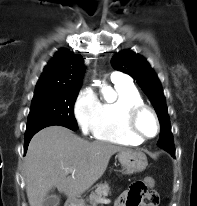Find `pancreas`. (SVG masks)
Segmentation results:
<instances>
[{"label":"pancreas","mask_w":197,"mask_h":206,"mask_svg":"<svg viewBox=\"0 0 197 206\" xmlns=\"http://www.w3.org/2000/svg\"><path fill=\"white\" fill-rule=\"evenodd\" d=\"M110 190L108 183H101L96 185V189L91 192L89 195V202L91 206H96V204L101 201L102 196L105 192H108Z\"/></svg>","instance_id":"1"}]
</instances>
